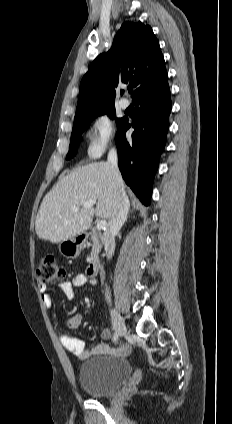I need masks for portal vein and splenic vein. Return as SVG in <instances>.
Segmentation results:
<instances>
[{
  "mask_svg": "<svg viewBox=\"0 0 232 424\" xmlns=\"http://www.w3.org/2000/svg\"><path fill=\"white\" fill-rule=\"evenodd\" d=\"M94 204H96V201L95 200L87 201V202L84 203L83 207H85V208L86 207H91ZM72 210L73 211H78V208L77 207H74ZM106 225H107L106 220H100V221L97 222V226L96 227H97V229H104L106 227Z\"/></svg>",
  "mask_w": 232,
  "mask_h": 424,
  "instance_id": "obj_1",
  "label": "portal vein and splenic vein"
}]
</instances>
